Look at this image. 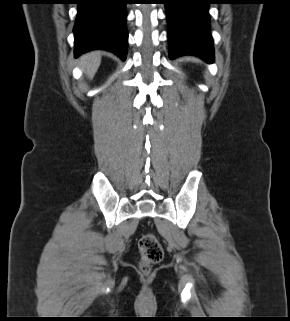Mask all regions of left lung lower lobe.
Wrapping results in <instances>:
<instances>
[{
	"mask_svg": "<svg viewBox=\"0 0 290 321\" xmlns=\"http://www.w3.org/2000/svg\"><path fill=\"white\" fill-rule=\"evenodd\" d=\"M213 0H166L169 58L194 55L214 61L213 40L208 15Z\"/></svg>",
	"mask_w": 290,
	"mask_h": 321,
	"instance_id": "0a47b994",
	"label": "left lung lower lobe"
}]
</instances>
